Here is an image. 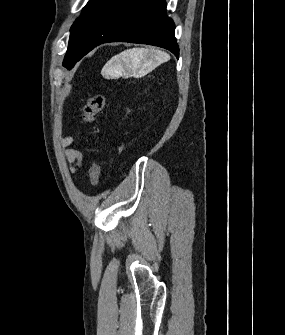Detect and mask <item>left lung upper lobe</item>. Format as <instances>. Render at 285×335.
<instances>
[{
  "mask_svg": "<svg viewBox=\"0 0 285 335\" xmlns=\"http://www.w3.org/2000/svg\"><path fill=\"white\" fill-rule=\"evenodd\" d=\"M111 0H89L84 7L81 16L71 27L68 50L65 55L63 66L71 69L80 60V49L85 34L92 25L98 14Z\"/></svg>",
  "mask_w": 285,
  "mask_h": 335,
  "instance_id": "1",
  "label": "left lung upper lobe"
}]
</instances>
